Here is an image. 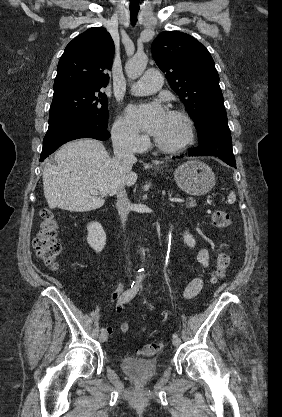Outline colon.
Here are the masks:
<instances>
[{
  "mask_svg": "<svg viewBox=\"0 0 282 417\" xmlns=\"http://www.w3.org/2000/svg\"><path fill=\"white\" fill-rule=\"evenodd\" d=\"M41 224L35 239V250L40 261L52 270H56L59 266L60 247L58 244L59 223L51 209L44 208L40 211ZM210 223L217 228H225L229 225L230 217L225 210L215 209L208 212ZM230 256L224 252L218 254L213 269L212 281L221 278L230 267ZM161 349L159 343H148L141 349L143 357H153Z\"/></svg>",
  "mask_w": 282,
  "mask_h": 417,
  "instance_id": "5ec220e1",
  "label": "colon"
}]
</instances>
